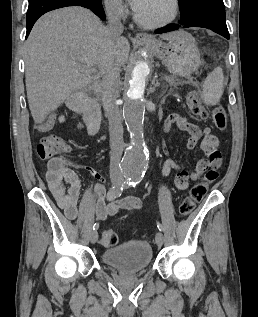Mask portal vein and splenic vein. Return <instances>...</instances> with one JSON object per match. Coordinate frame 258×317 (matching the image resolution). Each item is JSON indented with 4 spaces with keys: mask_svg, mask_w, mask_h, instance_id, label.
Masks as SVG:
<instances>
[{
    "mask_svg": "<svg viewBox=\"0 0 258 317\" xmlns=\"http://www.w3.org/2000/svg\"><path fill=\"white\" fill-rule=\"evenodd\" d=\"M91 72H96V68H91Z\"/></svg>",
    "mask_w": 258,
    "mask_h": 317,
    "instance_id": "portal-vein-and-splenic-vein-1",
    "label": "portal vein and splenic vein"
}]
</instances>
